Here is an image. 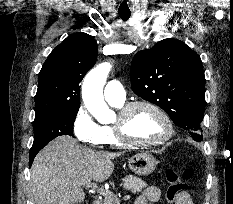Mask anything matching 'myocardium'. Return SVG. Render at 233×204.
I'll list each match as a JSON object with an SVG mask.
<instances>
[{
    "label": "myocardium",
    "mask_w": 233,
    "mask_h": 204,
    "mask_svg": "<svg viewBox=\"0 0 233 204\" xmlns=\"http://www.w3.org/2000/svg\"><path fill=\"white\" fill-rule=\"evenodd\" d=\"M139 107L149 108L159 115V117L164 121L166 125V133L164 134V136L153 141H141V140L132 139L127 134L126 125L128 119L131 113ZM112 126L117 139L123 145H127V146L152 147V146L162 145L167 141H169L174 134V126L169 115L159 105L147 100L131 101L120 107L116 121Z\"/></svg>",
    "instance_id": "f54148a6"
}]
</instances>
